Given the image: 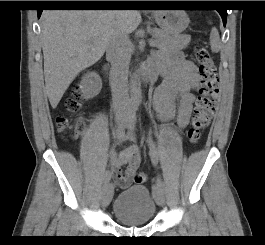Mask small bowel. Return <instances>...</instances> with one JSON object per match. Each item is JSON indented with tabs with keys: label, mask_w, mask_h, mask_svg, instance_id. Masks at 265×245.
<instances>
[{
	"label": "small bowel",
	"mask_w": 265,
	"mask_h": 245,
	"mask_svg": "<svg viewBox=\"0 0 265 245\" xmlns=\"http://www.w3.org/2000/svg\"><path fill=\"white\" fill-rule=\"evenodd\" d=\"M148 64L166 75L164 83L156 90L153 99L159 119L168 121L176 116L179 127L186 128L196 100L192 92L198 86L196 67L184 60L180 54L155 56ZM123 139L124 137L121 140ZM119 141L118 139L116 142ZM139 165L138 145H128L119 154L111 148L107 174L119 187L127 188L133 183Z\"/></svg>",
	"instance_id": "1"
}]
</instances>
